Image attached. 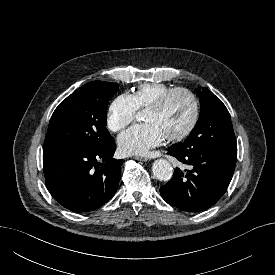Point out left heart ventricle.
<instances>
[{"label": "left heart ventricle", "mask_w": 275, "mask_h": 275, "mask_svg": "<svg viewBox=\"0 0 275 275\" xmlns=\"http://www.w3.org/2000/svg\"><path fill=\"white\" fill-rule=\"evenodd\" d=\"M192 116V103L184 93L173 95L163 109L147 110L145 121L155 124L164 136L177 134L183 131Z\"/></svg>", "instance_id": "b2bd125f"}]
</instances>
